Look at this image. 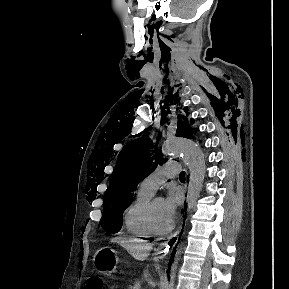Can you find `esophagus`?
Here are the masks:
<instances>
[{
    "label": "esophagus",
    "instance_id": "obj_1",
    "mask_svg": "<svg viewBox=\"0 0 289 289\" xmlns=\"http://www.w3.org/2000/svg\"><path fill=\"white\" fill-rule=\"evenodd\" d=\"M186 187H187V184H185V190H186ZM181 230H182V223L173 235H171L166 241L162 242L157 247L156 254L159 257H164L169 252V250L176 245V243L178 242L179 236L181 234Z\"/></svg>",
    "mask_w": 289,
    "mask_h": 289
}]
</instances>
